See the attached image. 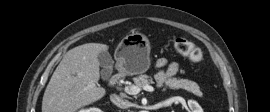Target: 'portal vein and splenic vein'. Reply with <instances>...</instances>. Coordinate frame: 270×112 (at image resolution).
Returning a JSON list of instances; mask_svg holds the SVG:
<instances>
[{
  "mask_svg": "<svg viewBox=\"0 0 270 112\" xmlns=\"http://www.w3.org/2000/svg\"><path fill=\"white\" fill-rule=\"evenodd\" d=\"M143 89L148 91V92H153L154 88L152 86H143ZM125 92L130 94V95H136L141 91V88L135 85H130V86H126L124 88Z\"/></svg>",
  "mask_w": 270,
  "mask_h": 112,
  "instance_id": "18ae733b",
  "label": "portal vein and splenic vein"
}]
</instances>
